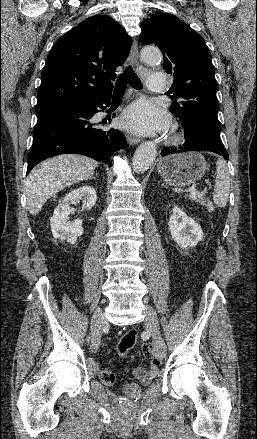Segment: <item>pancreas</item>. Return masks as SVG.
Returning <instances> with one entry per match:
<instances>
[{
	"mask_svg": "<svg viewBox=\"0 0 257 439\" xmlns=\"http://www.w3.org/2000/svg\"><path fill=\"white\" fill-rule=\"evenodd\" d=\"M189 199L199 203L201 206H206L207 198L204 193H196L194 195H189Z\"/></svg>",
	"mask_w": 257,
	"mask_h": 439,
	"instance_id": "pancreas-1",
	"label": "pancreas"
}]
</instances>
